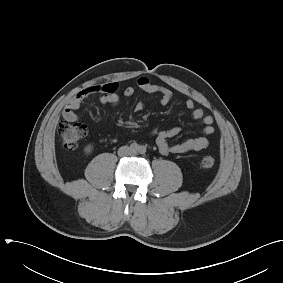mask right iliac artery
<instances>
[{"label": "right iliac artery", "mask_w": 283, "mask_h": 283, "mask_svg": "<svg viewBox=\"0 0 283 283\" xmlns=\"http://www.w3.org/2000/svg\"><path fill=\"white\" fill-rule=\"evenodd\" d=\"M130 148L133 150V151H137L139 150V145L137 143H132L130 145Z\"/></svg>", "instance_id": "82829eb1"}]
</instances>
